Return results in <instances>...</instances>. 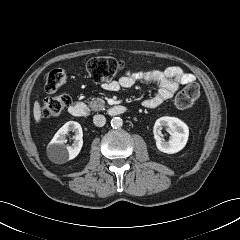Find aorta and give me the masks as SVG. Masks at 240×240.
Masks as SVG:
<instances>
[{
	"instance_id": "762f6f07",
	"label": "aorta",
	"mask_w": 240,
	"mask_h": 240,
	"mask_svg": "<svg viewBox=\"0 0 240 240\" xmlns=\"http://www.w3.org/2000/svg\"><path fill=\"white\" fill-rule=\"evenodd\" d=\"M123 120L120 117H114L111 120V126L115 129L122 127Z\"/></svg>"
}]
</instances>
